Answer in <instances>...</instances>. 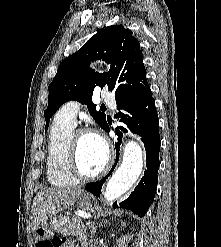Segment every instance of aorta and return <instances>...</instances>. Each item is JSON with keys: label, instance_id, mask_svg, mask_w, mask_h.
Returning <instances> with one entry per match:
<instances>
[{"label": "aorta", "instance_id": "aorta-1", "mask_svg": "<svg viewBox=\"0 0 221 247\" xmlns=\"http://www.w3.org/2000/svg\"><path fill=\"white\" fill-rule=\"evenodd\" d=\"M143 168V151L133 139L126 142L121 165L107 182L103 197L113 202L126 193L138 180Z\"/></svg>", "mask_w": 221, "mask_h": 247}]
</instances>
